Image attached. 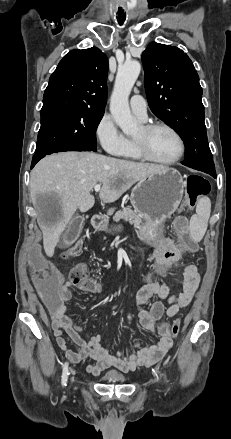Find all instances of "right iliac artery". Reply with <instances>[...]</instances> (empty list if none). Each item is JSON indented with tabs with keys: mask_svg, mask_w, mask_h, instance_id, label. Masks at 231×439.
Instances as JSON below:
<instances>
[{
	"mask_svg": "<svg viewBox=\"0 0 231 439\" xmlns=\"http://www.w3.org/2000/svg\"><path fill=\"white\" fill-rule=\"evenodd\" d=\"M68 363L66 362L64 365H63V373H62V385L63 386H66V382H67V379H68Z\"/></svg>",
	"mask_w": 231,
	"mask_h": 439,
	"instance_id": "obj_1",
	"label": "right iliac artery"
}]
</instances>
